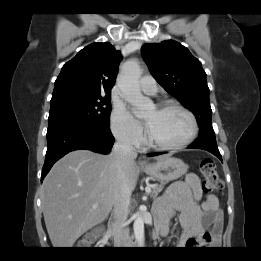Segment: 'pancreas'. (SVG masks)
Wrapping results in <instances>:
<instances>
[{"mask_svg": "<svg viewBox=\"0 0 261 261\" xmlns=\"http://www.w3.org/2000/svg\"><path fill=\"white\" fill-rule=\"evenodd\" d=\"M163 188H164V183L163 182L161 184H159V185L151 186V189H152L151 196L153 198H156L158 196V194L163 190Z\"/></svg>", "mask_w": 261, "mask_h": 261, "instance_id": "obj_1", "label": "pancreas"}]
</instances>
